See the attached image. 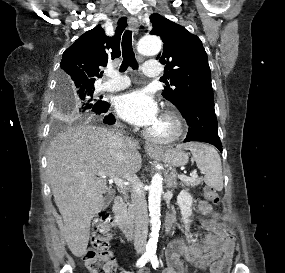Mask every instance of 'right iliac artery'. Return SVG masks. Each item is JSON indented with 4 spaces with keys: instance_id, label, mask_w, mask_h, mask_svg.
<instances>
[{
    "instance_id": "right-iliac-artery-1",
    "label": "right iliac artery",
    "mask_w": 285,
    "mask_h": 273,
    "mask_svg": "<svg viewBox=\"0 0 285 273\" xmlns=\"http://www.w3.org/2000/svg\"><path fill=\"white\" fill-rule=\"evenodd\" d=\"M149 259H150V255H147V254L142 255L138 259L136 266L137 267H143L149 261Z\"/></svg>"
}]
</instances>
